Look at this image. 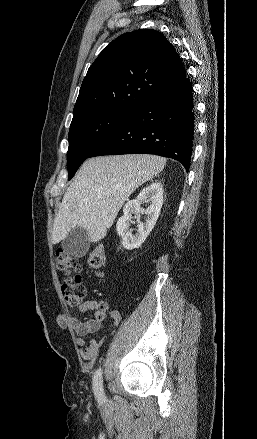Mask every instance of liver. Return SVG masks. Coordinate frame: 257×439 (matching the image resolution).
I'll use <instances>...</instances> for the list:
<instances>
[{"instance_id":"obj_1","label":"liver","mask_w":257,"mask_h":439,"mask_svg":"<svg viewBox=\"0 0 257 439\" xmlns=\"http://www.w3.org/2000/svg\"><path fill=\"white\" fill-rule=\"evenodd\" d=\"M165 164V158L149 154L101 156L85 161L54 219L53 244L64 240L76 227L88 232L90 242H99L129 196L162 171Z\"/></svg>"}]
</instances>
